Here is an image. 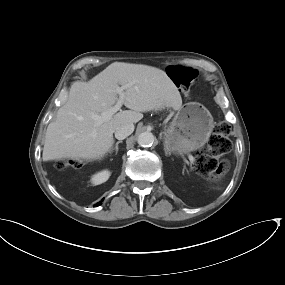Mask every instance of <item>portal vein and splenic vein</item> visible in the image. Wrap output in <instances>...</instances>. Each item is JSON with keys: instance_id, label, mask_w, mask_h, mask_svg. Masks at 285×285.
<instances>
[{"instance_id": "18ae733b", "label": "portal vein and splenic vein", "mask_w": 285, "mask_h": 285, "mask_svg": "<svg viewBox=\"0 0 285 285\" xmlns=\"http://www.w3.org/2000/svg\"><path fill=\"white\" fill-rule=\"evenodd\" d=\"M117 93L119 95V99L117 103L110 109L109 113H102L101 115H94V119L97 121H104L108 119L109 116L116 113L120 110L124 102V87H117ZM188 158L191 162L195 161V158L192 155H188Z\"/></svg>"}]
</instances>
